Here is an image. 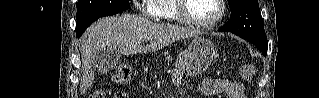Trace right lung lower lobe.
Returning a JSON list of instances; mask_svg holds the SVG:
<instances>
[{
  "mask_svg": "<svg viewBox=\"0 0 319 98\" xmlns=\"http://www.w3.org/2000/svg\"><path fill=\"white\" fill-rule=\"evenodd\" d=\"M116 13H105V14H99V15H94L90 17H86L80 20H77L76 22V36L79 38L83 32L86 30L88 26H90L95 20L99 19L100 17L104 16H110L114 15Z\"/></svg>",
  "mask_w": 319,
  "mask_h": 98,
  "instance_id": "obj_1",
  "label": "right lung lower lobe"
}]
</instances>
